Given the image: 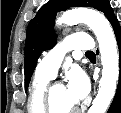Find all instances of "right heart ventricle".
<instances>
[{
    "label": "right heart ventricle",
    "mask_w": 121,
    "mask_h": 113,
    "mask_svg": "<svg viewBox=\"0 0 121 113\" xmlns=\"http://www.w3.org/2000/svg\"><path fill=\"white\" fill-rule=\"evenodd\" d=\"M49 80L50 77L36 72L29 99L28 108L30 110L35 112L36 110H46L45 91Z\"/></svg>",
    "instance_id": "e07e8e85"
}]
</instances>
